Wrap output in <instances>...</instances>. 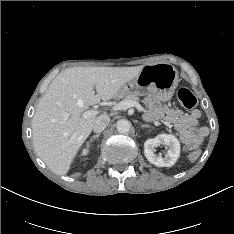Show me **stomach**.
I'll use <instances>...</instances> for the list:
<instances>
[{"mask_svg":"<svg viewBox=\"0 0 234 234\" xmlns=\"http://www.w3.org/2000/svg\"><path fill=\"white\" fill-rule=\"evenodd\" d=\"M176 70L168 64L159 63L143 66L141 72L119 90L118 95L145 96L152 93L160 101H169L177 86Z\"/></svg>","mask_w":234,"mask_h":234,"instance_id":"1","label":"stomach"}]
</instances>
